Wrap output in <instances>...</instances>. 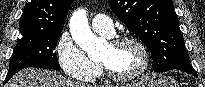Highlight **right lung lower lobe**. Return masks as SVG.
I'll return each mask as SVG.
<instances>
[{
  "label": "right lung lower lobe",
  "instance_id": "right-lung-lower-lobe-1",
  "mask_svg": "<svg viewBox=\"0 0 205 87\" xmlns=\"http://www.w3.org/2000/svg\"><path fill=\"white\" fill-rule=\"evenodd\" d=\"M19 70L20 69H15V70H12V71H8V74H7L6 78H5L4 84Z\"/></svg>",
  "mask_w": 205,
  "mask_h": 87
}]
</instances>
